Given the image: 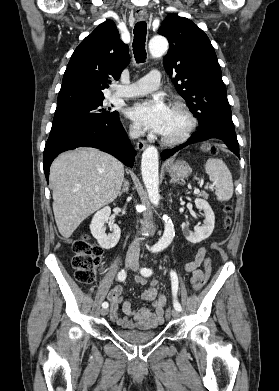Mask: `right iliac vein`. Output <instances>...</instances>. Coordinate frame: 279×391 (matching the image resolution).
<instances>
[{
    "label": "right iliac vein",
    "mask_w": 279,
    "mask_h": 391,
    "mask_svg": "<svg viewBox=\"0 0 279 391\" xmlns=\"http://www.w3.org/2000/svg\"><path fill=\"white\" fill-rule=\"evenodd\" d=\"M135 258L133 257V256H130V255H128L127 257H126V259H125V266L126 267H131V266H133L134 264H135ZM108 312H109V309H107V308H103L102 310H101V315H107L108 314Z\"/></svg>",
    "instance_id": "63e3f726"
}]
</instances>
